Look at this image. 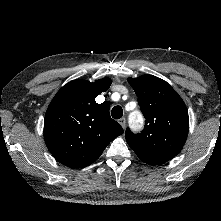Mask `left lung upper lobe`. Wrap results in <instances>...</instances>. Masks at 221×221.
Instances as JSON below:
<instances>
[{
	"label": "left lung upper lobe",
	"mask_w": 221,
	"mask_h": 221,
	"mask_svg": "<svg viewBox=\"0 0 221 221\" xmlns=\"http://www.w3.org/2000/svg\"><path fill=\"white\" fill-rule=\"evenodd\" d=\"M146 119L143 131L133 134L126 129L129 146L145 163L158 165L175 157L186 141L188 111L176 91L164 80L143 75L129 78Z\"/></svg>",
	"instance_id": "obj_1"
}]
</instances>
